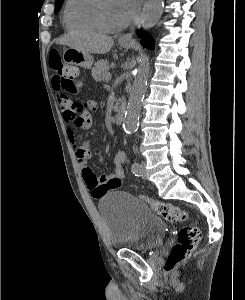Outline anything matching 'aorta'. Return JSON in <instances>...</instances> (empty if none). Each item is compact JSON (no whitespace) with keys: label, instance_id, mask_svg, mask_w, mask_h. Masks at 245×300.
I'll return each mask as SVG.
<instances>
[{"label":"aorta","instance_id":"1","mask_svg":"<svg viewBox=\"0 0 245 300\" xmlns=\"http://www.w3.org/2000/svg\"><path fill=\"white\" fill-rule=\"evenodd\" d=\"M164 10V0H149L143 8L141 25L149 30L159 21ZM148 68L142 63L136 70L130 92L123 127L127 134L136 131L141 110V102L146 92Z\"/></svg>","mask_w":245,"mask_h":300}]
</instances>
